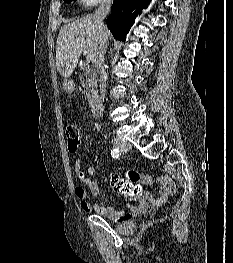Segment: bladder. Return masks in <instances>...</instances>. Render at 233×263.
Segmentation results:
<instances>
[{
  "instance_id": "31cf9c89",
  "label": "bladder",
  "mask_w": 233,
  "mask_h": 263,
  "mask_svg": "<svg viewBox=\"0 0 233 263\" xmlns=\"http://www.w3.org/2000/svg\"><path fill=\"white\" fill-rule=\"evenodd\" d=\"M134 228V222L132 220H127L124 222H120L116 225L117 231L122 234H129L132 232Z\"/></svg>"
}]
</instances>
